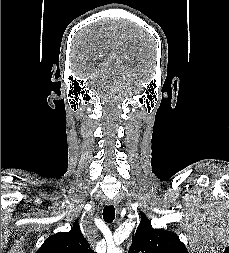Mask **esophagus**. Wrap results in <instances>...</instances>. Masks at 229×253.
Wrapping results in <instances>:
<instances>
[{"mask_svg":"<svg viewBox=\"0 0 229 253\" xmlns=\"http://www.w3.org/2000/svg\"><path fill=\"white\" fill-rule=\"evenodd\" d=\"M106 204L107 205H117V202L114 199H107Z\"/></svg>","mask_w":229,"mask_h":253,"instance_id":"1","label":"esophagus"}]
</instances>
